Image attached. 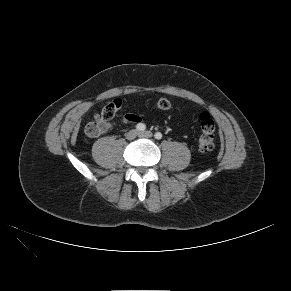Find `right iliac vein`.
Listing matches in <instances>:
<instances>
[{
  "label": "right iliac vein",
  "mask_w": 291,
  "mask_h": 291,
  "mask_svg": "<svg viewBox=\"0 0 291 291\" xmlns=\"http://www.w3.org/2000/svg\"><path fill=\"white\" fill-rule=\"evenodd\" d=\"M137 135H138V132H137V130H130L127 134H126V138L128 139V140H133V139H135L136 137H137Z\"/></svg>",
  "instance_id": "63e3f726"
}]
</instances>
